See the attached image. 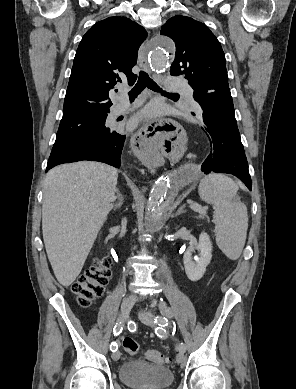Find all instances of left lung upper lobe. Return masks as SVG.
<instances>
[{"label": "left lung upper lobe", "instance_id": "obj_1", "mask_svg": "<svg viewBox=\"0 0 296 389\" xmlns=\"http://www.w3.org/2000/svg\"><path fill=\"white\" fill-rule=\"evenodd\" d=\"M160 34L170 37L176 45L171 75H185L200 105L205 94L229 90L225 54L205 24L177 15L162 26Z\"/></svg>", "mask_w": 296, "mask_h": 389}]
</instances>
